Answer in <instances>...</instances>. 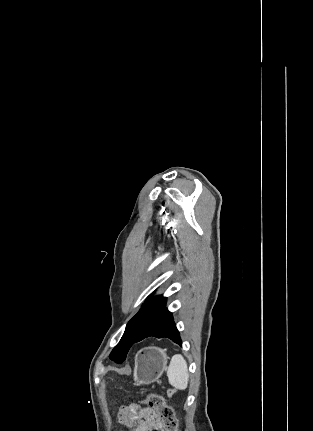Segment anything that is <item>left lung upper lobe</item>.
Returning <instances> with one entry per match:
<instances>
[{"mask_svg":"<svg viewBox=\"0 0 313 431\" xmlns=\"http://www.w3.org/2000/svg\"><path fill=\"white\" fill-rule=\"evenodd\" d=\"M167 298L156 296L145 303L139 312L128 322L120 342L114 347L110 359L122 363L144 325L166 305Z\"/></svg>","mask_w":313,"mask_h":431,"instance_id":"left-lung-upper-lobe-1","label":"left lung upper lobe"}]
</instances>
